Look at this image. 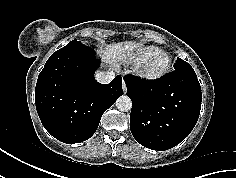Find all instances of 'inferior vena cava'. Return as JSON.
<instances>
[{
	"label": "inferior vena cava",
	"mask_w": 236,
	"mask_h": 178,
	"mask_svg": "<svg viewBox=\"0 0 236 178\" xmlns=\"http://www.w3.org/2000/svg\"><path fill=\"white\" fill-rule=\"evenodd\" d=\"M115 77V73L113 71H106V72H98L95 75V79L102 84L110 83Z\"/></svg>",
	"instance_id": "1"
}]
</instances>
